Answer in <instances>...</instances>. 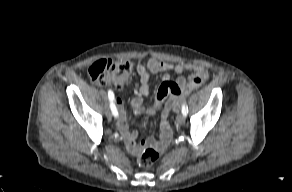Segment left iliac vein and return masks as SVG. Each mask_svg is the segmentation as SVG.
<instances>
[{
	"mask_svg": "<svg viewBox=\"0 0 292 192\" xmlns=\"http://www.w3.org/2000/svg\"><path fill=\"white\" fill-rule=\"evenodd\" d=\"M177 123H178L179 125H182V124L185 123V116H184L183 114H179V115L177 116Z\"/></svg>",
	"mask_w": 292,
	"mask_h": 192,
	"instance_id": "left-iliac-vein-1",
	"label": "left iliac vein"
}]
</instances>
